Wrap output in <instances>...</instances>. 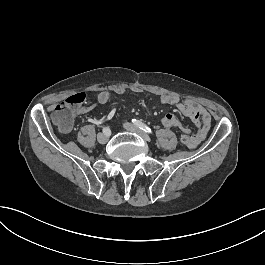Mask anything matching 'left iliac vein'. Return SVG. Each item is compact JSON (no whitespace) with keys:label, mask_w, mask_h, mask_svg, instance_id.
<instances>
[{"label":"left iliac vein","mask_w":265,"mask_h":265,"mask_svg":"<svg viewBox=\"0 0 265 265\" xmlns=\"http://www.w3.org/2000/svg\"><path fill=\"white\" fill-rule=\"evenodd\" d=\"M124 128L127 131L136 133L137 135H139L145 142H149L150 141V137L142 130H140L138 127H136L135 125L131 124V123H124Z\"/></svg>","instance_id":"4c4485c4"}]
</instances>
